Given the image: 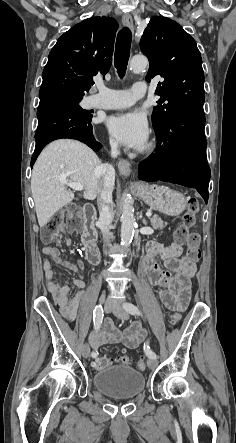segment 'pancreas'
I'll use <instances>...</instances> for the list:
<instances>
[{
    "mask_svg": "<svg viewBox=\"0 0 236 443\" xmlns=\"http://www.w3.org/2000/svg\"><path fill=\"white\" fill-rule=\"evenodd\" d=\"M150 223L154 229H158V230L164 229L168 224L167 222H164L163 220H161L158 216L151 217Z\"/></svg>",
    "mask_w": 236,
    "mask_h": 443,
    "instance_id": "cf45deb5",
    "label": "pancreas"
}]
</instances>
